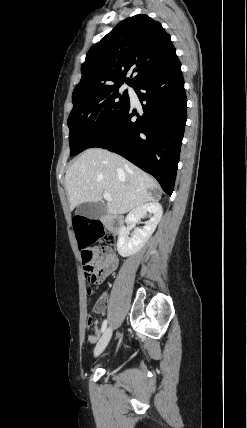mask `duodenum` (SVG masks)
Here are the masks:
<instances>
[{
	"label": "duodenum",
	"mask_w": 247,
	"mask_h": 428,
	"mask_svg": "<svg viewBox=\"0 0 247 428\" xmlns=\"http://www.w3.org/2000/svg\"><path fill=\"white\" fill-rule=\"evenodd\" d=\"M104 222L114 233H118L123 226V219L118 215H108L104 218Z\"/></svg>",
	"instance_id": "1"
}]
</instances>
